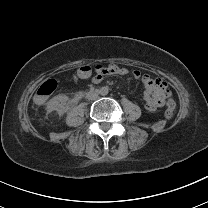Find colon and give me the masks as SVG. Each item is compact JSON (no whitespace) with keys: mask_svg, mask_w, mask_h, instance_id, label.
Listing matches in <instances>:
<instances>
[{"mask_svg":"<svg viewBox=\"0 0 208 208\" xmlns=\"http://www.w3.org/2000/svg\"><path fill=\"white\" fill-rule=\"evenodd\" d=\"M101 68V67H99ZM93 69L89 66H82L78 70L77 74L73 76L74 82L78 83L79 79H86L91 77ZM58 88V83L54 79L47 80L41 85L35 94V99L39 103L47 101L48 97L52 95ZM176 109V102L173 99H168L166 102L165 116L167 119H172Z\"/></svg>","mask_w":208,"mask_h":208,"instance_id":"5ec220e1","label":"colon"}]
</instances>
